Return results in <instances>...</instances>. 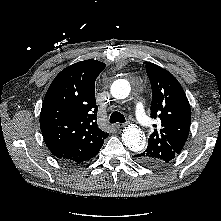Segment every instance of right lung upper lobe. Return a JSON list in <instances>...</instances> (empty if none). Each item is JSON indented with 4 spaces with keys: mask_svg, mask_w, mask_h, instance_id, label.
<instances>
[{
    "mask_svg": "<svg viewBox=\"0 0 221 221\" xmlns=\"http://www.w3.org/2000/svg\"><path fill=\"white\" fill-rule=\"evenodd\" d=\"M106 65L85 60L63 69L46 92L40 113L45 143L57 158L81 163L96 156L108 137L96 123L95 80Z\"/></svg>",
    "mask_w": 221,
    "mask_h": 221,
    "instance_id": "right-lung-upper-lobe-1",
    "label": "right lung upper lobe"
}]
</instances>
